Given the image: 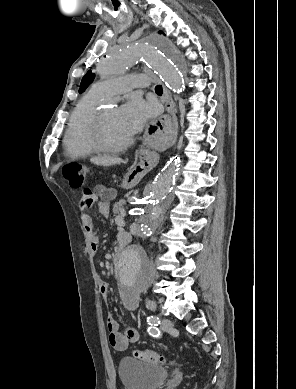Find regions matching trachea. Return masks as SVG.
<instances>
[{
  "instance_id": "3493384b",
  "label": "trachea",
  "mask_w": 296,
  "mask_h": 389,
  "mask_svg": "<svg viewBox=\"0 0 296 389\" xmlns=\"http://www.w3.org/2000/svg\"><path fill=\"white\" fill-rule=\"evenodd\" d=\"M155 92H156L157 94H159V95H162V92H163L162 86H161V85H157V86L155 87Z\"/></svg>"
}]
</instances>
